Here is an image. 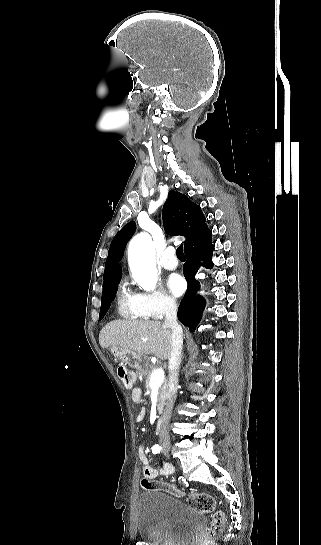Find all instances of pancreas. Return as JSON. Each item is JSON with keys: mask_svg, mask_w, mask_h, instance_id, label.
<instances>
[{"mask_svg": "<svg viewBox=\"0 0 321 545\" xmlns=\"http://www.w3.org/2000/svg\"><path fill=\"white\" fill-rule=\"evenodd\" d=\"M155 369H156L155 365H151V367H149L148 371H146V373H143V375L145 377L146 389H151V387H150V377H151L152 371H155ZM167 397H168V383H167V381H164V383H162L161 387H159V391H158L157 411H158L159 415H162L163 407L165 405V401H166Z\"/></svg>", "mask_w": 321, "mask_h": 545, "instance_id": "obj_1", "label": "pancreas"}]
</instances>
